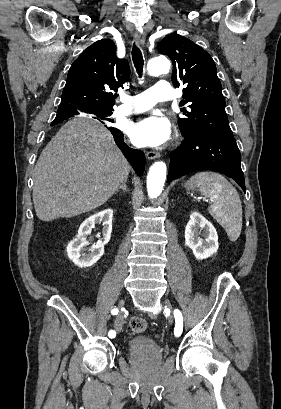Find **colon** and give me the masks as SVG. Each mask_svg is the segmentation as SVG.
<instances>
[{
  "label": "colon",
  "instance_id": "1",
  "mask_svg": "<svg viewBox=\"0 0 281 409\" xmlns=\"http://www.w3.org/2000/svg\"><path fill=\"white\" fill-rule=\"evenodd\" d=\"M131 326L136 333H144L148 329V323L139 317L132 319Z\"/></svg>",
  "mask_w": 281,
  "mask_h": 409
}]
</instances>
